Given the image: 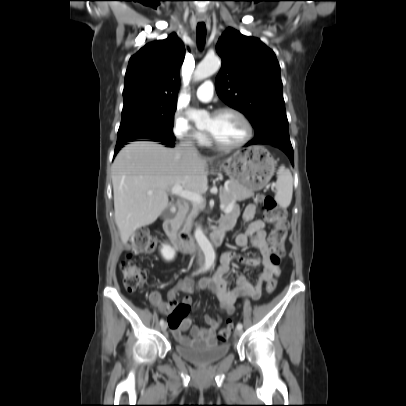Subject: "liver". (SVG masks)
Listing matches in <instances>:
<instances>
[{
    "label": "liver",
    "instance_id": "obj_1",
    "mask_svg": "<svg viewBox=\"0 0 406 406\" xmlns=\"http://www.w3.org/2000/svg\"><path fill=\"white\" fill-rule=\"evenodd\" d=\"M207 160L152 141L126 145L112 166L115 222L122 243L126 244L136 229L152 224L169 207V188L180 185L186 191L206 192Z\"/></svg>",
    "mask_w": 406,
    "mask_h": 406
}]
</instances>
